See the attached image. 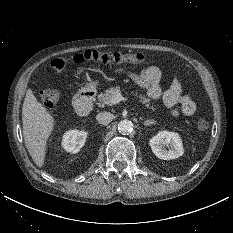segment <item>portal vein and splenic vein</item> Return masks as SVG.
Listing matches in <instances>:
<instances>
[{
	"label": "portal vein and splenic vein",
	"instance_id": "18ae733b",
	"mask_svg": "<svg viewBox=\"0 0 233 233\" xmlns=\"http://www.w3.org/2000/svg\"><path fill=\"white\" fill-rule=\"evenodd\" d=\"M127 98H124L120 93H118L114 98H113V101L112 103L113 104H117L119 103L120 101H126Z\"/></svg>",
	"mask_w": 233,
	"mask_h": 233
}]
</instances>
